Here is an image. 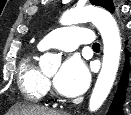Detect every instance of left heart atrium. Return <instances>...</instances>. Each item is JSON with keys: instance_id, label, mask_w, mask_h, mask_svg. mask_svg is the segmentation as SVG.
<instances>
[{"instance_id": "left-heart-atrium-1", "label": "left heart atrium", "mask_w": 131, "mask_h": 115, "mask_svg": "<svg viewBox=\"0 0 131 115\" xmlns=\"http://www.w3.org/2000/svg\"><path fill=\"white\" fill-rule=\"evenodd\" d=\"M89 81L90 74L83 61L77 57H70L61 66L53 84L62 95L74 97L86 90Z\"/></svg>"}]
</instances>
